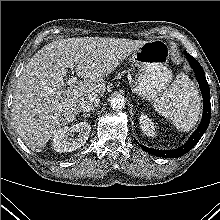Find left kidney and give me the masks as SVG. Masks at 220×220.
I'll use <instances>...</instances> for the list:
<instances>
[{"label":"left kidney","instance_id":"left-kidney-1","mask_svg":"<svg viewBox=\"0 0 220 220\" xmlns=\"http://www.w3.org/2000/svg\"><path fill=\"white\" fill-rule=\"evenodd\" d=\"M139 123L144 134H146L149 137L155 136L154 123L151 121V119L148 118V116L141 114L139 118Z\"/></svg>","mask_w":220,"mask_h":220}]
</instances>
